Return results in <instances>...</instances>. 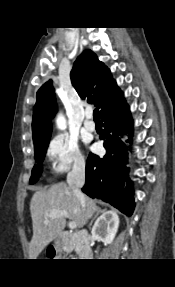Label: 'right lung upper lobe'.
Wrapping results in <instances>:
<instances>
[{"instance_id":"cb5924a9","label":"right lung upper lobe","mask_w":175,"mask_h":287,"mask_svg":"<svg viewBox=\"0 0 175 287\" xmlns=\"http://www.w3.org/2000/svg\"><path fill=\"white\" fill-rule=\"evenodd\" d=\"M70 77L81 99L95 102L100 108V116L125 100L110 70L91 50H85L76 59ZM56 112L55 90L49 80L36 95L32 122L34 143L50 137L51 119Z\"/></svg>"}]
</instances>
